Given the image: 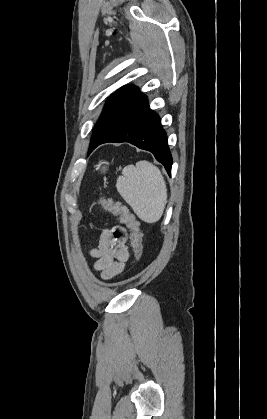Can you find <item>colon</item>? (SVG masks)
Listing matches in <instances>:
<instances>
[{
	"mask_svg": "<svg viewBox=\"0 0 267 419\" xmlns=\"http://www.w3.org/2000/svg\"><path fill=\"white\" fill-rule=\"evenodd\" d=\"M97 203L108 213L119 217L120 221L129 229L135 258L140 260L143 253L142 233L133 214L129 212L126 206L111 198L99 197Z\"/></svg>",
	"mask_w": 267,
	"mask_h": 419,
	"instance_id": "1",
	"label": "colon"
}]
</instances>
